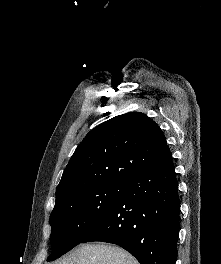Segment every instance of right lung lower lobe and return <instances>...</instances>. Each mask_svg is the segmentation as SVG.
I'll use <instances>...</instances> for the list:
<instances>
[{
  "mask_svg": "<svg viewBox=\"0 0 221 264\" xmlns=\"http://www.w3.org/2000/svg\"><path fill=\"white\" fill-rule=\"evenodd\" d=\"M179 212L178 182L170 161L127 180L115 206L81 243L119 245L141 264H175Z\"/></svg>",
  "mask_w": 221,
  "mask_h": 264,
  "instance_id": "obj_1",
  "label": "right lung lower lobe"
}]
</instances>
